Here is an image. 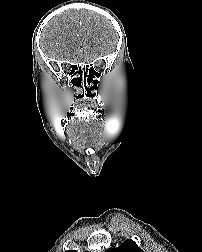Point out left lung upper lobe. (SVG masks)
<instances>
[{
	"instance_id": "5c2ea615",
	"label": "left lung upper lobe",
	"mask_w": 202,
	"mask_h": 252,
	"mask_svg": "<svg viewBox=\"0 0 202 252\" xmlns=\"http://www.w3.org/2000/svg\"><path fill=\"white\" fill-rule=\"evenodd\" d=\"M106 252H143L134 241L126 240L118 248H109Z\"/></svg>"
}]
</instances>
